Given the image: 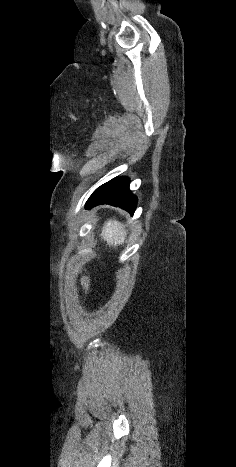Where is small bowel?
Listing matches in <instances>:
<instances>
[{
  "label": "small bowel",
  "instance_id": "small-bowel-1",
  "mask_svg": "<svg viewBox=\"0 0 236 467\" xmlns=\"http://www.w3.org/2000/svg\"><path fill=\"white\" fill-rule=\"evenodd\" d=\"M82 285H83V287H84V290H85V291H88L89 288H90V279H89L88 277H84V278L82 279Z\"/></svg>",
  "mask_w": 236,
  "mask_h": 467
}]
</instances>
